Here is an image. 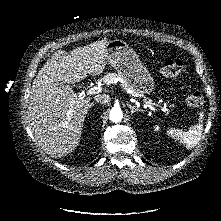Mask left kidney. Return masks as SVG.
Instances as JSON below:
<instances>
[{
  "label": "left kidney",
  "mask_w": 221,
  "mask_h": 221,
  "mask_svg": "<svg viewBox=\"0 0 221 221\" xmlns=\"http://www.w3.org/2000/svg\"><path fill=\"white\" fill-rule=\"evenodd\" d=\"M154 128H155V131L159 130V126L158 125H155Z\"/></svg>",
  "instance_id": "obj_1"
}]
</instances>
